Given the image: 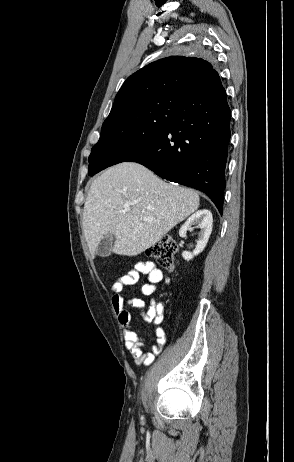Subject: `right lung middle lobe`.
<instances>
[{
  "label": "right lung middle lobe",
  "mask_w": 294,
  "mask_h": 462,
  "mask_svg": "<svg viewBox=\"0 0 294 462\" xmlns=\"http://www.w3.org/2000/svg\"><path fill=\"white\" fill-rule=\"evenodd\" d=\"M197 53L206 55L198 45ZM186 98L179 93L164 94L137 102L112 112L102 125L100 139L90 158L96 159L99 171L124 162L146 141L162 131L179 113Z\"/></svg>",
  "instance_id": "dd1d6c3e"
}]
</instances>
